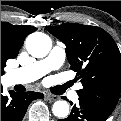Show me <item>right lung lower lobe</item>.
Returning <instances> with one entry per match:
<instances>
[{"label":"right lung lower lobe","mask_w":121,"mask_h":121,"mask_svg":"<svg viewBox=\"0 0 121 121\" xmlns=\"http://www.w3.org/2000/svg\"><path fill=\"white\" fill-rule=\"evenodd\" d=\"M3 87L1 86V93ZM43 94L38 92H10V97L1 94V121H21L28 105Z\"/></svg>","instance_id":"1"}]
</instances>
